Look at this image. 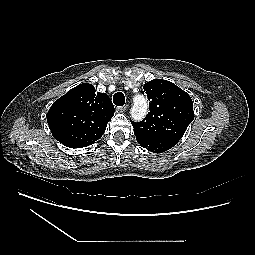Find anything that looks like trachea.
<instances>
[{
	"label": "trachea",
	"mask_w": 255,
	"mask_h": 255,
	"mask_svg": "<svg viewBox=\"0 0 255 255\" xmlns=\"http://www.w3.org/2000/svg\"><path fill=\"white\" fill-rule=\"evenodd\" d=\"M113 103L117 106H123L125 103V96L122 92H117L113 96Z\"/></svg>",
	"instance_id": "obj_1"
}]
</instances>
